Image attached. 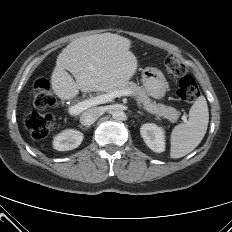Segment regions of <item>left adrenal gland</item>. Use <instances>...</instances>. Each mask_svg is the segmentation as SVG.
Returning <instances> with one entry per match:
<instances>
[{
  "instance_id": "1",
  "label": "left adrenal gland",
  "mask_w": 232,
  "mask_h": 232,
  "mask_svg": "<svg viewBox=\"0 0 232 232\" xmlns=\"http://www.w3.org/2000/svg\"><path fill=\"white\" fill-rule=\"evenodd\" d=\"M137 113H138V114H140V115H143V113H142V112H140V111H138Z\"/></svg>"
}]
</instances>
